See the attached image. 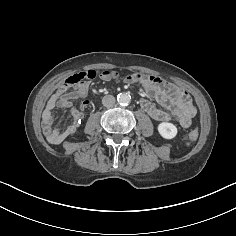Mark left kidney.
I'll return each mask as SVG.
<instances>
[{
    "instance_id": "5707ae66",
    "label": "left kidney",
    "mask_w": 236,
    "mask_h": 236,
    "mask_svg": "<svg viewBox=\"0 0 236 236\" xmlns=\"http://www.w3.org/2000/svg\"><path fill=\"white\" fill-rule=\"evenodd\" d=\"M159 134L165 139H173L177 135V128L169 122H162L158 125Z\"/></svg>"
}]
</instances>
